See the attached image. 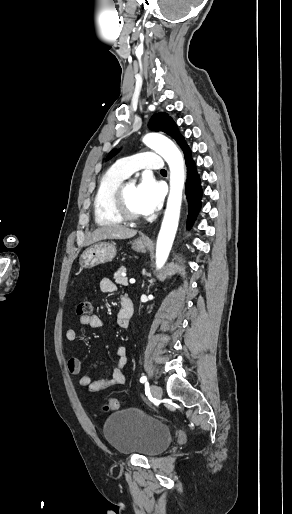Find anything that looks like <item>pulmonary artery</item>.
Listing matches in <instances>:
<instances>
[{"label":"pulmonary artery","instance_id":"e3ab8cb5","mask_svg":"<svg viewBox=\"0 0 292 514\" xmlns=\"http://www.w3.org/2000/svg\"><path fill=\"white\" fill-rule=\"evenodd\" d=\"M163 160L152 150H139L131 157L119 156L113 163V170L123 177H130L133 172H160Z\"/></svg>","mask_w":292,"mask_h":514}]
</instances>
